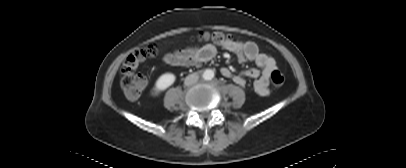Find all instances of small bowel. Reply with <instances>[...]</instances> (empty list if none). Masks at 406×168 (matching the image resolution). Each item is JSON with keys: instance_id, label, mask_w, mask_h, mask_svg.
Here are the masks:
<instances>
[{"instance_id": "small-bowel-1", "label": "small bowel", "mask_w": 406, "mask_h": 168, "mask_svg": "<svg viewBox=\"0 0 406 168\" xmlns=\"http://www.w3.org/2000/svg\"><path fill=\"white\" fill-rule=\"evenodd\" d=\"M223 49L238 56L240 62H253L259 69H249L241 73L234 74L228 67L221 68V74L228 79H232L237 85L245 87L248 78L254 79L253 89L259 96L269 95V81L273 70L277 69L275 59L268 53L260 51L258 45L253 41H233L222 46ZM216 54L213 45H206L200 48L188 47L176 50L164 56V61L173 66H199L209 61Z\"/></svg>"}]
</instances>
